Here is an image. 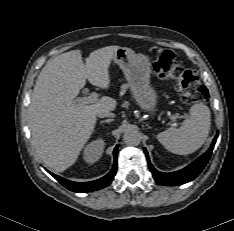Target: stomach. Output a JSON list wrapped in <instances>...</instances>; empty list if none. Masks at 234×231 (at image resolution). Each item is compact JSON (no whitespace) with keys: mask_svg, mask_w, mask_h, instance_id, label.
I'll list each match as a JSON object with an SVG mask.
<instances>
[{"mask_svg":"<svg viewBox=\"0 0 234 231\" xmlns=\"http://www.w3.org/2000/svg\"><path fill=\"white\" fill-rule=\"evenodd\" d=\"M113 61L123 71L132 97L145 112L155 114L158 94L151 85V63L144 54H136L132 49L121 47L113 57Z\"/></svg>","mask_w":234,"mask_h":231,"instance_id":"0dacf381","label":"stomach"}]
</instances>
